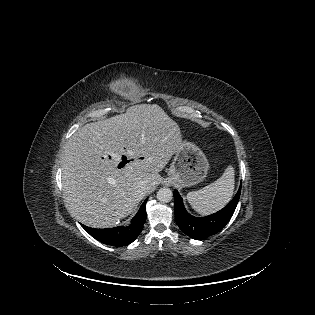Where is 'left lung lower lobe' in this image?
Returning <instances> with one entry per match:
<instances>
[{"mask_svg": "<svg viewBox=\"0 0 315 315\" xmlns=\"http://www.w3.org/2000/svg\"><path fill=\"white\" fill-rule=\"evenodd\" d=\"M240 193L241 185L237 194L227 206L212 215L198 218L191 216L185 210L181 196L177 190H174L176 223L181 231L189 237L204 240L219 232L229 222L238 204Z\"/></svg>", "mask_w": 315, "mask_h": 315, "instance_id": "left-lung-lower-lobe-1", "label": "left lung lower lobe"}]
</instances>
